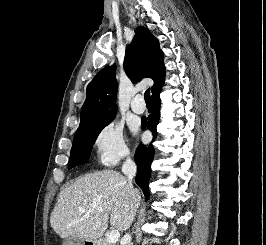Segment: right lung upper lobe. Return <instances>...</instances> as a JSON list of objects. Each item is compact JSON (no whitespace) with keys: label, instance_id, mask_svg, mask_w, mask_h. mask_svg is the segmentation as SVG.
<instances>
[{"label":"right lung upper lobe","instance_id":"cb5924a9","mask_svg":"<svg viewBox=\"0 0 266 245\" xmlns=\"http://www.w3.org/2000/svg\"><path fill=\"white\" fill-rule=\"evenodd\" d=\"M124 69L130 80L135 83L142 77L151 78L154 94L164 84L165 67L163 52L158 40L142 26L137 27L136 35L126 48ZM117 94L115 65L102 69L87 87V97L81 109L80 123L116 113L114 106Z\"/></svg>","mask_w":266,"mask_h":245}]
</instances>
